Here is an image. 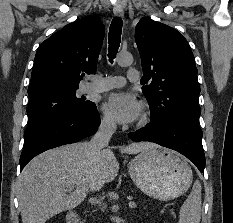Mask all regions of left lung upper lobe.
I'll use <instances>...</instances> for the list:
<instances>
[{"mask_svg": "<svg viewBox=\"0 0 233 223\" xmlns=\"http://www.w3.org/2000/svg\"><path fill=\"white\" fill-rule=\"evenodd\" d=\"M143 77L142 91L146 96L151 123L173 121L197 122L200 86L197 68L187 40L174 28L148 18L136 25Z\"/></svg>", "mask_w": 233, "mask_h": 223, "instance_id": "obj_1", "label": "left lung upper lobe"}]
</instances>
